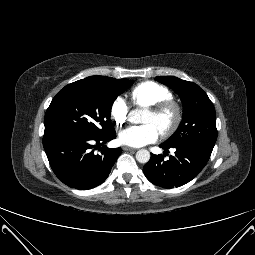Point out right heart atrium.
Wrapping results in <instances>:
<instances>
[{
    "label": "right heart atrium",
    "mask_w": 255,
    "mask_h": 255,
    "mask_svg": "<svg viewBox=\"0 0 255 255\" xmlns=\"http://www.w3.org/2000/svg\"><path fill=\"white\" fill-rule=\"evenodd\" d=\"M110 116L118 126H123L127 123L129 119V107L123 98L118 97L114 99L110 106Z\"/></svg>",
    "instance_id": "d8ad5b80"
}]
</instances>
